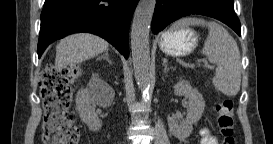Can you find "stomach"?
I'll return each mask as SVG.
<instances>
[{"label": "stomach", "mask_w": 273, "mask_h": 144, "mask_svg": "<svg viewBox=\"0 0 273 144\" xmlns=\"http://www.w3.org/2000/svg\"><path fill=\"white\" fill-rule=\"evenodd\" d=\"M198 45V35L187 28L169 29L162 33L159 40L161 51L172 56H186Z\"/></svg>", "instance_id": "stomach-1"}]
</instances>
